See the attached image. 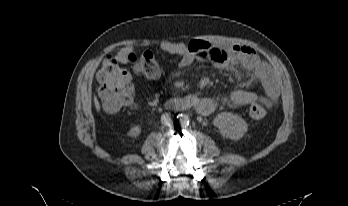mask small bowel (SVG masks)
I'll return each mask as SVG.
<instances>
[{"instance_id": "1", "label": "small bowel", "mask_w": 348, "mask_h": 206, "mask_svg": "<svg viewBox=\"0 0 348 206\" xmlns=\"http://www.w3.org/2000/svg\"><path fill=\"white\" fill-rule=\"evenodd\" d=\"M159 48L164 52L178 56L181 68H186L197 61H208L220 69L228 70L232 63H239L262 82L268 96L274 103L278 101L279 84L274 70L247 45L215 46L209 42L192 40L188 44L164 42L159 44ZM127 54L128 51L119 53L118 59L126 63L128 61ZM256 100L257 95L254 92L238 89L228 96L227 103L231 106H245Z\"/></svg>"}]
</instances>
